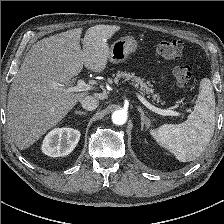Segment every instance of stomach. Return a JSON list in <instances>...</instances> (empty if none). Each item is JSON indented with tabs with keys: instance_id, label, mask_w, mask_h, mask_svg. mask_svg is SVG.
Listing matches in <instances>:
<instances>
[{
	"instance_id": "stomach-1",
	"label": "stomach",
	"mask_w": 224,
	"mask_h": 224,
	"mask_svg": "<svg viewBox=\"0 0 224 224\" xmlns=\"http://www.w3.org/2000/svg\"><path fill=\"white\" fill-rule=\"evenodd\" d=\"M137 49L138 42L136 39L132 36H124L111 45L108 60L113 64L121 63Z\"/></svg>"
}]
</instances>
